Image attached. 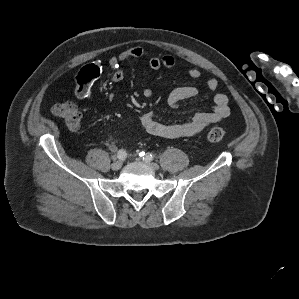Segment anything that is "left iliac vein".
Returning <instances> with one entry per match:
<instances>
[{
    "instance_id": "4c4485c4",
    "label": "left iliac vein",
    "mask_w": 299,
    "mask_h": 299,
    "mask_svg": "<svg viewBox=\"0 0 299 299\" xmlns=\"http://www.w3.org/2000/svg\"><path fill=\"white\" fill-rule=\"evenodd\" d=\"M145 162L146 163H149V165L152 167V168H154V169H159V165L157 164V163H154V162H149V161H146L145 160Z\"/></svg>"
}]
</instances>
